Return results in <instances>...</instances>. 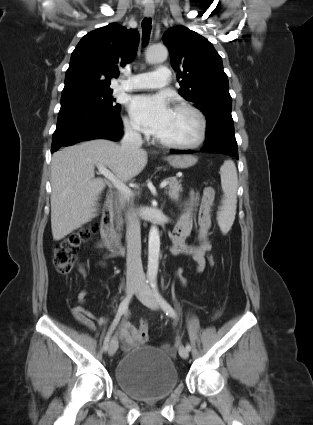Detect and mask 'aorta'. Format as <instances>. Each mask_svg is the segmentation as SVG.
<instances>
[{"mask_svg": "<svg viewBox=\"0 0 313 425\" xmlns=\"http://www.w3.org/2000/svg\"><path fill=\"white\" fill-rule=\"evenodd\" d=\"M168 57V50L165 46H152L146 53V61L148 63L163 62ZM160 254V236L156 226H152L149 231L148 238V270L147 277L155 280L158 273Z\"/></svg>", "mask_w": 313, "mask_h": 425, "instance_id": "aorta-1", "label": "aorta"}]
</instances>
